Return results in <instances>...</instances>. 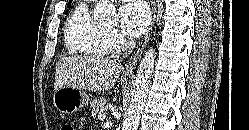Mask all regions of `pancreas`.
<instances>
[{
    "instance_id": "obj_1",
    "label": "pancreas",
    "mask_w": 249,
    "mask_h": 130,
    "mask_svg": "<svg viewBox=\"0 0 249 130\" xmlns=\"http://www.w3.org/2000/svg\"><path fill=\"white\" fill-rule=\"evenodd\" d=\"M105 104L106 100L104 98L93 100V102L90 104V107L92 108V116L96 117L99 113H104Z\"/></svg>"
}]
</instances>
